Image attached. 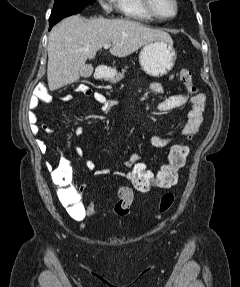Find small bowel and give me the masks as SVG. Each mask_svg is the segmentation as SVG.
<instances>
[{"instance_id":"c3829d8e","label":"small bowel","mask_w":240,"mask_h":287,"mask_svg":"<svg viewBox=\"0 0 240 287\" xmlns=\"http://www.w3.org/2000/svg\"><path fill=\"white\" fill-rule=\"evenodd\" d=\"M150 88L155 93L158 94L163 93V87L159 83H152ZM77 90L87 97H93L94 100L100 105V109L104 113H108L114 106L118 104L117 100L109 99L100 92H93L86 85H80L77 88ZM73 98L74 97L71 94H63L60 96V100L63 102H69L73 100ZM47 99L48 97L46 96L45 100ZM188 102L190 103L191 108L187 114V118L184 124L181 127L180 132L183 135L193 137L195 134H197L204 121L203 114L206 108V96L204 94L199 93L189 96L186 93H178L171 95L159 103L158 110L165 113L171 112L182 108ZM38 103H39L38 97L32 96L29 101V112L27 115L28 120L31 124V131L34 135H37L40 130H42L46 134H52L54 133V129L51 126L47 124H42L41 126L37 125L38 118L34 110L37 108ZM73 131L77 136L85 135V132L79 126H75L73 128ZM150 140L153 146L157 148H162L168 145L171 139L169 137L151 134ZM38 146L43 153L46 152L47 145L44 140H38ZM73 151L80 158L85 157V153L80 146L73 145ZM62 159L66 160L64 156H62ZM140 160H142V157L139 154L129 153L127 158L123 162V166L127 170H116L113 172V174L117 177L127 179L129 168L134 163ZM86 167L89 170L94 171V174L96 176H105L112 172L109 168L97 169V165L92 159L86 160ZM82 187L84 188V185H82ZM60 199L63 206L66 208L67 212L73 219L77 221H82L85 218L86 216L85 206L81 201V194L77 189L74 188L65 190L64 192L61 191Z\"/></svg>"}]
</instances>
